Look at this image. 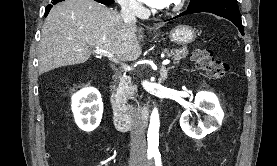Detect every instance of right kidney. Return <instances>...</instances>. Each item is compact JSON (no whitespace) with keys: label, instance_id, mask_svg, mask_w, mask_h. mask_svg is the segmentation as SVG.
Returning a JSON list of instances; mask_svg holds the SVG:
<instances>
[{"label":"right kidney","instance_id":"right-kidney-1","mask_svg":"<svg viewBox=\"0 0 277 166\" xmlns=\"http://www.w3.org/2000/svg\"><path fill=\"white\" fill-rule=\"evenodd\" d=\"M72 112L80 129L91 132L102 118L103 103L99 91L93 87L84 88L72 96Z\"/></svg>","mask_w":277,"mask_h":166}]
</instances>
